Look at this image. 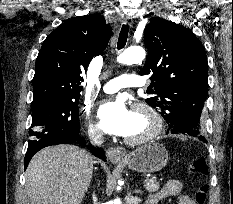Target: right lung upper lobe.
<instances>
[{
    "instance_id": "1",
    "label": "right lung upper lobe",
    "mask_w": 233,
    "mask_h": 204,
    "mask_svg": "<svg viewBox=\"0 0 233 204\" xmlns=\"http://www.w3.org/2000/svg\"><path fill=\"white\" fill-rule=\"evenodd\" d=\"M111 33L96 14L69 19L51 32L36 59L32 105L79 99L82 75L93 57L102 54Z\"/></svg>"
}]
</instances>
